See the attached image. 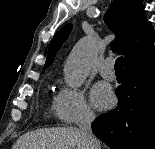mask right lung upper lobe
<instances>
[{
	"instance_id": "obj_1",
	"label": "right lung upper lobe",
	"mask_w": 155,
	"mask_h": 149,
	"mask_svg": "<svg viewBox=\"0 0 155 149\" xmlns=\"http://www.w3.org/2000/svg\"><path fill=\"white\" fill-rule=\"evenodd\" d=\"M144 8L140 0H114L104 16L105 24L116 35L111 48L124 55V67L155 57V32L147 20ZM71 29V24L65 25L53 37L43 72L52 64L56 51L67 39Z\"/></svg>"
}]
</instances>
